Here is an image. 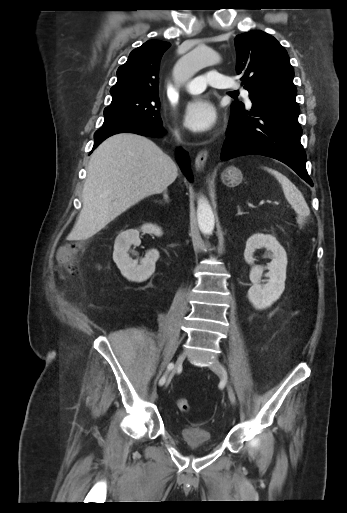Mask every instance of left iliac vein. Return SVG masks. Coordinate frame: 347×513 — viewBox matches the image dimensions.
<instances>
[{
    "instance_id": "1",
    "label": "left iliac vein",
    "mask_w": 347,
    "mask_h": 513,
    "mask_svg": "<svg viewBox=\"0 0 347 513\" xmlns=\"http://www.w3.org/2000/svg\"><path fill=\"white\" fill-rule=\"evenodd\" d=\"M209 368L214 373L219 375L220 377L225 378V371L219 361L212 360L211 363L209 364ZM227 392H228V397H229L231 404L233 406H235L236 405V396H235L232 386L228 382H227Z\"/></svg>"
}]
</instances>
